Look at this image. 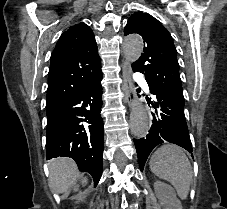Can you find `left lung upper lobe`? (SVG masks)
I'll return each instance as SVG.
<instances>
[{
  "instance_id": "1",
  "label": "left lung upper lobe",
  "mask_w": 227,
  "mask_h": 209,
  "mask_svg": "<svg viewBox=\"0 0 227 209\" xmlns=\"http://www.w3.org/2000/svg\"><path fill=\"white\" fill-rule=\"evenodd\" d=\"M136 33L144 39L143 53L132 64L141 72L150 90L184 104L179 64L173 39L167 29L153 16L141 11L130 16L124 35Z\"/></svg>"
}]
</instances>
